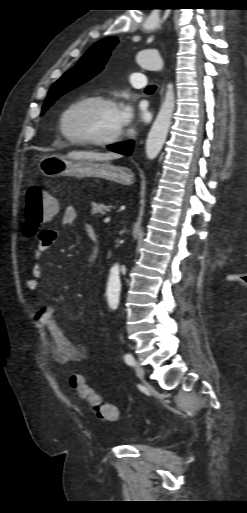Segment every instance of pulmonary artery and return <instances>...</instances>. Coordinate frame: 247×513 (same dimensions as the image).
<instances>
[{"label":"pulmonary artery","instance_id":"obj_1","mask_svg":"<svg viewBox=\"0 0 247 513\" xmlns=\"http://www.w3.org/2000/svg\"><path fill=\"white\" fill-rule=\"evenodd\" d=\"M130 82L135 88H144L147 84L145 75L139 72L130 75Z\"/></svg>","mask_w":247,"mask_h":513}]
</instances>
